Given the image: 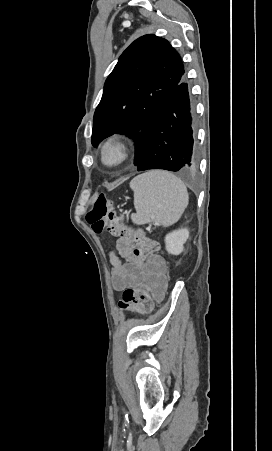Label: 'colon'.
<instances>
[{
  "mask_svg": "<svg viewBox=\"0 0 272 451\" xmlns=\"http://www.w3.org/2000/svg\"><path fill=\"white\" fill-rule=\"evenodd\" d=\"M125 213H118L113 206V202L104 194H97L93 200L92 207L85 215L87 223L97 234L110 233L114 239L123 240L120 242V250H132L133 258H146L147 252L158 250L157 244H149L148 238L142 232H132L129 227L123 224ZM152 297L145 288L138 290L125 289L118 301L122 310H133L145 313L148 311Z\"/></svg>",
  "mask_w": 272,
  "mask_h": 451,
  "instance_id": "colon-1",
  "label": "colon"
}]
</instances>
